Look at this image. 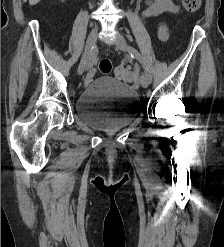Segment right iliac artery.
Listing matches in <instances>:
<instances>
[{
  "mask_svg": "<svg viewBox=\"0 0 224 247\" xmlns=\"http://www.w3.org/2000/svg\"><path fill=\"white\" fill-rule=\"evenodd\" d=\"M96 57H97V49H96V47H94L92 50V56L88 62V66H87L88 69H91L93 67L95 60H96Z\"/></svg>",
  "mask_w": 224,
  "mask_h": 247,
  "instance_id": "82829eb1",
  "label": "right iliac artery"
}]
</instances>
